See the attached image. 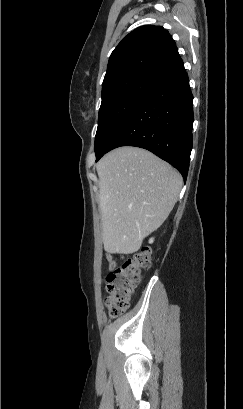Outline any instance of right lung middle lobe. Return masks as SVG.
Wrapping results in <instances>:
<instances>
[{"label":"right lung middle lobe","mask_w":243,"mask_h":409,"mask_svg":"<svg viewBox=\"0 0 243 409\" xmlns=\"http://www.w3.org/2000/svg\"><path fill=\"white\" fill-rule=\"evenodd\" d=\"M159 81L153 77L135 76L113 83L102 93L94 147L96 155L116 128Z\"/></svg>","instance_id":"obj_1"}]
</instances>
